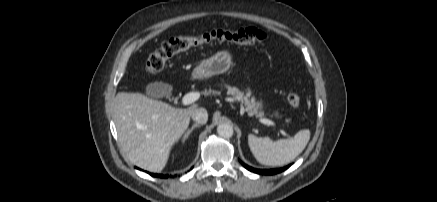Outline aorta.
I'll use <instances>...</instances> for the list:
<instances>
[{"label": "aorta", "mask_w": 437, "mask_h": 202, "mask_svg": "<svg viewBox=\"0 0 437 202\" xmlns=\"http://www.w3.org/2000/svg\"><path fill=\"white\" fill-rule=\"evenodd\" d=\"M217 132L222 138H231L233 136V127L228 123L218 125Z\"/></svg>", "instance_id": "1"}]
</instances>
